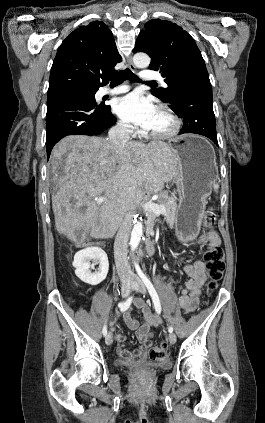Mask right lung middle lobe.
I'll use <instances>...</instances> for the list:
<instances>
[{
  "label": "right lung middle lobe",
  "mask_w": 265,
  "mask_h": 423,
  "mask_svg": "<svg viewBox=\"0 0 265 423\" xmlns=\"http://www.w3.org/2000/svg\"><path fill=\"white\" fill-rule=\"evenodd\" d=\"M76 90H83V89H76ZM94 95H95V93H93V92H89V93H88L89 99H90L91 101H93L96 105H98V104L96 103V101H95ZM99 105H101V104H99Z\"/></svg>",
  "instance_id": "obj_1"
}]
</instances>
